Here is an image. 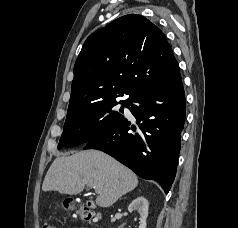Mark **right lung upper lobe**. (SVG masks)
<instances>
[{
    "label": "right lung upper lobe",
    "mask_w": 238,
    "mask_h": 228,
    "mask_svg": "<svg viewBox=\"0 0 238 228\" xmlns=\"http://www.w3.org/2000/svg\"><path fill=\"white\" fill-rule=\"evenodd\" d=\"M181 77L163 32L143 16H122L91 34L74 66L68 113L135 95Z\"/></svg>",
    "instance_id": "right-lung-upper-lobe-1"
}]
</instances>
